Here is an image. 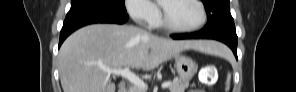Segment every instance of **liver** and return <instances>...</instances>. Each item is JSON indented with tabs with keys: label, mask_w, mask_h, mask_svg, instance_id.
<instances>
[{
	"label": "liver",
	"mask_w": 296,
	"mask_h": 92,
	"mask_svg": "<svg viewBox=\"0 0 296 92\" xmlns=\"http://www.w3.org/2000/svg\"><path fill=\"white\" fill-rule=\"evenodd\" d=\"M214 41H173L130 25L93 24L70 35L59 51L64 92H115L103 69L150 71L185 50L213 54Z\"/></svg>",
	"instance_id": "liver-1"
}]
</instances>
